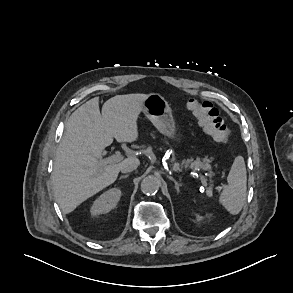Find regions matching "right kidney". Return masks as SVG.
I'll list each match as a JSON object with an SVG mask.
<instances>
[{
    "instance_id": "ca27d5eb",
    "label": "right kidney",
    "mask_w": 293,
    "mask_h": 293,
    "mask_svg": "<svg viewBox=\"0 0 293 293\" xmlns=\"http://www.w3.org/2000/svg\"><path fill=\"white\" fill-rule=\"evenodd\" d=\"M121 197V190L117 188H112L97 198L92 207H91V214L96 216L99 214H106L111 211L117 205L118 201Z\"/></svg>"
}]
</instances>
